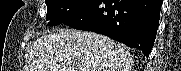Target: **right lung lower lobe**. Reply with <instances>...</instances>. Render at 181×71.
<instances>
[{"mask_svg":"<svg viewBox=\"0 0 181 71\" xmlns=\"http://www.w3.org/2000/svg\"><path fill=\"white\" fill-rule=\"evenodd\" d=\"M162 0H94L62 24L106 35L149 54L159 25Z\"/></svg>","mask_w":181,"mask_h":71,"instance_id":"1","label":"right lung lower lobe"}]
</instances>
